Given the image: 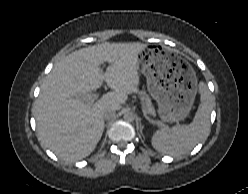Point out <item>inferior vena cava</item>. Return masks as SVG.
Masks as SVG:
<instances>
[{"mask_svg": "<svg viewBox=\"0 0 248 194\" xmlns=\"http://www.w3.org/2000/svg\"><path fill=\"white\" fill-rule=\"evenodd\" d=\"M115 113H116V109L114 108L106 110L104 113V119L108 120L113 118L115 116Z\"/></svg>", "mask_w": 248, "mask_h": 194, "instance_id": "1", "label": "inferior vena cava"}]
</instances>
